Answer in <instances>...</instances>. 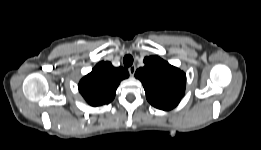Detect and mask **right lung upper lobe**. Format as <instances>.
Segmentation results:
<instances>
[{"label":"right lung upper lobe","instance_id":"1","mask_svg":"<svg viewBox=\"0 0 261 150\" xmlns=\"http://www.w3.org/2000/svg\"><path fill=\"white\" fill-rule=\"evenodd\" d=\"M128 76L122 67L115 68L110 62H100L81 79L79 91L91 106L107 104L114 99L120 81Z\"/></svg>","mask_w":261,"mask_h":150}]
</instances>
